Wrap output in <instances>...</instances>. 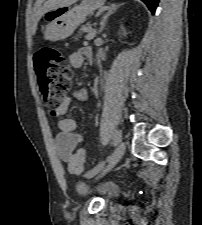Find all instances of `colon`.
I'll return each mask as SVG.
<instances>
[{"instance_id":"colon-1","label":"colon","mask_w":202,"mask_h":225,"mask_svg":"<svg viewBox=\"0 0 202 225\" xmlns=\"http://www.w3.org/2000/svg\"><path fill=\"white\" fill-rule=\"evenodd\" d=\"M35 61L43 102L54 116L63 102L64 95L70 89L72 70L63 55L50 47L38 51ZM78 167L79 159H74L69 165L73 173Z\"/></svg>"}]
</instances>
